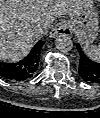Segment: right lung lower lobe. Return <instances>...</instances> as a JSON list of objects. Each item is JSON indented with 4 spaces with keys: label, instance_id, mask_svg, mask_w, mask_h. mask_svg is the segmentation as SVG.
I'll return each instance as SVG.
<instances>
[{
    "label": "right lung lower lobe",
    "instance_id": "right-lung-lower-lobe-1",
    "mask_svg": "<svg viewBox=\"0 0 100 118\" xmlns=\"http://www.w3.org/2000/svg\"><path fill=\"white\" fill-rule=\"evenodd\" d=\"M45 41H38L28 56L16 63H0V76L9 80L22 81L31 78L37 71L39 56Z\"/></svg>",
    "mask_w": 100,
    "mask_h": 118
}]
</instances>
